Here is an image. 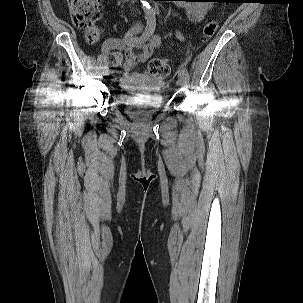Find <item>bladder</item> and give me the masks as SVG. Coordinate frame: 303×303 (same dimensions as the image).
I'll return each mask as SVG.
<instances>
[{
    "label": "bladder",
    "instance_id": "1",
    "mask_svg": "<svg viewBox=\"0 0 303 303\" xmlns=\"http://www.w3.org/2000/svg\"><path fill=\"white\" fill-rule=\"evenodd\" d=\"M125 104L128 109L129 116L135 120L154 114L162 106V102L135 103L133 101H128Z\"/></svg>",
    "mask_w": 303,
    "mask_h": 303
}]
</instances>
